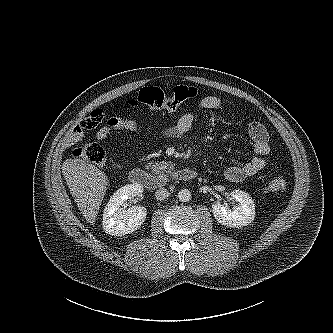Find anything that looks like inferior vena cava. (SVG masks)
I'll use <instances>...</instances> for the list:
<instances>
[{
  "mask_svg": "<svg viewBox=\"0 0 333 333\" xmlns=\"http://www.w3.org/2000/svg\"><path fill=\"white\" fill-rule=\"evenodd\" d=\"M168 196H169V192L165 188H159L155 192V197L159 201H162V200L166 199Z\"/></svg>",
  "mask_w": 333,
  "mask_h": 333,
  "instance_id": "602c4592",
  "label": "inferior vena cava"
}]
</instances>
